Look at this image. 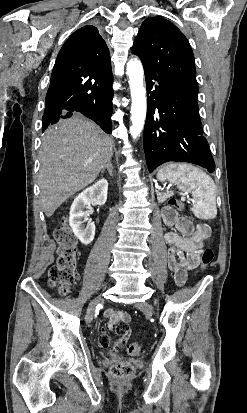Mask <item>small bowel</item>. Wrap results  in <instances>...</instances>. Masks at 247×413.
Returning a JSON list of instances; mask_svg holds the SVG:
<instances>
[{
  "mask_svg": "<svg viewBox=\"0 0 247 413\" xmlns=\"http://www.w3.org/2000/svg\"><path fill=\"white\" fill-rule=\"evenodd\" d=\"M163 220L167 227L175 228L164 235L168 249V267L173 273L175 284L179 287L186 283L188 272L200 264V254L204 248V241L210 236V227L205 223L193 224L185 217H178L176 212L166 207L163 210ZM110 329L116 328L118 340L114 342L116 349H128L129 338L132 336L130 314L114 309L104 313ZM101 349H108L107 331L101 330L96 336Z\"/></svg>",
  "mask_w": 247,
  "mask_h": 413,
  "instance_id": "1",
  "label": "small bowel"
}]
</instances>
